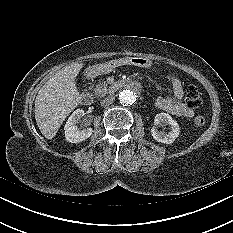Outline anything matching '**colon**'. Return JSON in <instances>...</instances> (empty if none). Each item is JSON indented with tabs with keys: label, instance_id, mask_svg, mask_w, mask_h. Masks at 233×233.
<instances>
[{
	"label": "colon",
	"instance_id": "1",
	"mask_svg": "<svg viewBox=\"0 0 233 233\" xmlns=\"http://www.w3.org/2000/svg\"><path fill=\"white\" fill-rule=\"evenodd\" d=\"M185 101L187 105L191 108H197L201 105V96L198 89L193 86L189 85L185 90ZM206 120L202 114H197L193 118V124L196 127H202L205 124Z\"/></svg>",
	"mask_w": 233,
	"mask_h": 233
}]
</instances>
